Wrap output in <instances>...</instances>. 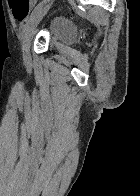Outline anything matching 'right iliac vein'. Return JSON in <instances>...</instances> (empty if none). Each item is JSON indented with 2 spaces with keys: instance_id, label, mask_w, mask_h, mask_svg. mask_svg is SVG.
Here are the masks:
<instances>
[{
  "instance_id": "63e3f726",
  "label": "right iliac vein",
  "mask_w": 140,
  "mask_h": 196,
  "mask_svg": "<svg viewBox=\"0 0 140 196\" xmlns=\"http://www.w3.org/2000/svg\"><path fill=\"white\" fill-rule=\"evenodd\" d=\"M50 6L47 5L44 8H41L38 10V12L31 18L28 27L26 29L25 35H24V42H23V60L25 63L30 62V44H31V39L34 34V30L36 26L40 23L42 18L46 15L48 12Z\"/></svg>"
}]
</instances>
